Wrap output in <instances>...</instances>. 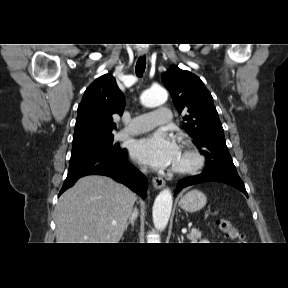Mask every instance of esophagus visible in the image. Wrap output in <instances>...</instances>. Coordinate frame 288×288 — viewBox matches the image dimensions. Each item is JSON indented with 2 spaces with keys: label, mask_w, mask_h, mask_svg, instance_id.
<instances>
[{
  "label": "esophagus",
  "mask_w": 288,
  "mask_h": 288,
  "mask_svg": "<svg viewBox=\"0 0 288 288\" xmlns=\"http://www.w3.org/2000/svg\"><path fill=\"white\" fill-rule=\"evenodd\" d=\"M146 52H147L146 50H140L138 52V56H143L144 54H146ZM152 182H153L154 188L156 189H162L163 187H165V184H166L164 179L161 177L153 178Z\"/></svg>",
  "instance_id": "esophagus-1"
}]
</instances>
